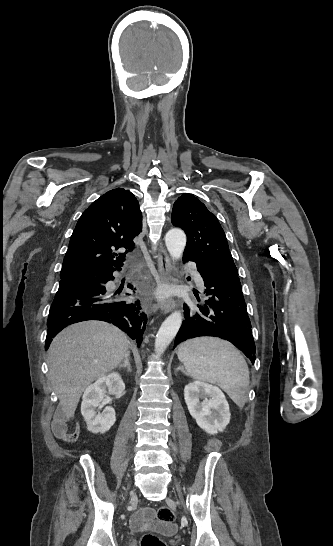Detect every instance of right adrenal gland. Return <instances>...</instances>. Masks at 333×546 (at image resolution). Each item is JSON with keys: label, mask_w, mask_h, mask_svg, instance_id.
<instances>
[{"label": "right adrenal gland", "mask_w": 333, "mask_h": 546, "mask_svg": "<svg viewBox=\"0 0 333 546\" xmlns=\"http://www.w3.org/2000/svg\"><path fill=\"white\" fill-rule=\"evenodd\" d=\"M130 351H127L126 354H125V359H124V362L122 364H120L118 366L119 369L121 368H127V370L129 372H132V368H131V364H130Z\"/></svg>", "instance_id": "1"}]
</instances>
